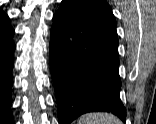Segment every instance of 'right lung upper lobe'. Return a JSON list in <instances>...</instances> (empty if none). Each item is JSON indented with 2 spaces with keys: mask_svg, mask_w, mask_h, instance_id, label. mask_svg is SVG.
<instances>
[{
  "mask_svg": "<svg viewBox=\"0 0 156 124\" xmlns=\"http://www.w3.org/2000/svg\"><path fill=\"white\" fill-rule=\"evenodd\" d=\"M9 26L8 16L4 12H0V27Z\"/></svg>",
  "mask_w": 156,
  "mask_h": 124,
  "instance_id": "right-lung-upper-lobe-1",
  "label": "right lung upper lobe"
}]
</instances>
